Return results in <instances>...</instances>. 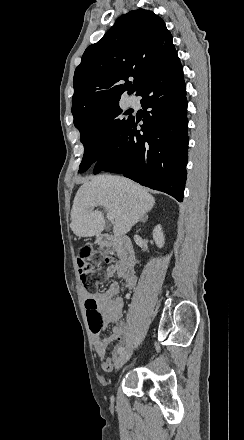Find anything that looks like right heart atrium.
I'll return each instance as SVG.
<instances>
[{"label":"right heart atrium","instance_id":"d8ad5b80","mask_svg":"<svg viewBox=\"0 0 244 440\" xmlns=\"http://www.w3.org/2000/svg\"><path fill=\"white\" fill-rule=\"evenodd\" d=\"M104 129H105V130H104L105 133H106L107 135H109V136L113 133V130H112V128H111L110 125H106Z\"/></svg>","mask_w":244,"mask_h":440}]
</instances>
